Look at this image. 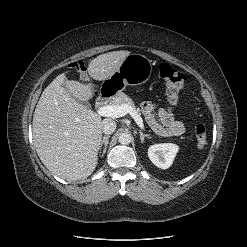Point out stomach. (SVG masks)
Here are the masks:
<instances>
[{
	"label": "stomach",
	"mask_w": 247,
	"mask_h": 247,
	"mask_svg": "<svg viewBox=\"0 0 247 247\" xmlns=\"http://www.w3.org/2000/svg\"><path fill=\"white\" fill-rule=\"evenodd\" d=\"M152 74V61L142 54H130L119 69L103 81L102 89L118 94L127 85H140L149 80Z\"/></svg>",
	"instance_id": "stomach-1"
}]
</instances>
